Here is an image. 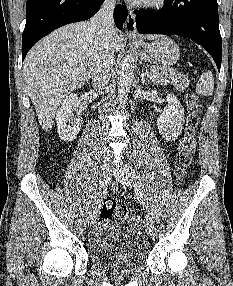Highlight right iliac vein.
<instances>
[{
  "label": "right iliac vein",
  "mask_w": 233,
  "mask_h": 286,
  "mask_svg": "<svg viewBox=\"0 0 233 286\" xmlns=\"http://www.w3.org/2000/svg\"><path fill=\"white\" fill-rule=\"evenodd\" d=\"M110 167L107 164H104L101 168V172H100V177H99V186H100V190L102 188L105 187V185L108 183L109 179H110ZM100 194L102 195V192H100ZM99 203L100 200L95 202L93 205V208L91 210L90 213V223L93 224L96 219H97V215H98V210H99Z\"/></svg>",
  "instance_id": "obj_1"
}]
</instances>
